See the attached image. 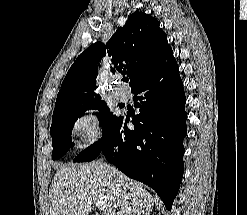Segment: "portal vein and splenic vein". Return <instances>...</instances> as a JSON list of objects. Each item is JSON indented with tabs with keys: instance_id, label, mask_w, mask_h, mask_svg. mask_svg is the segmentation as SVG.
<instances>
[{
	"instance_id": "1",
	"label": "portal vein and splenic vein",
	"mask_w": 247,
	"mask_h": 215,
	"mask_svg": "<svg viewBox=\"0 0 247 215\" xmlns=\"http://www.w3.org/2000/svg\"><path fill=\"white\" fill-rule=\"evenodd\" d=\"M96 207H98L99 210H103V211L106 209V205L102 200H98L96 202Z\"/></svg>"
}]
</instances>
